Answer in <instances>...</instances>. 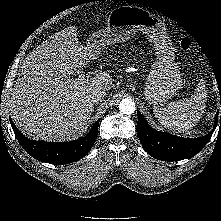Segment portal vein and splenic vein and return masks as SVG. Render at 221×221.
Returning a JSON list of instances; mask_svg holds the SVG:
<instances>
[{
    "label": "portal vein and splenic vein",
    "mask_w": 221,
    "mask_h": 221,
    "mask_svg": "<svg viewBox=\"0 0 221 221\" xmlns=\"http://www.w3.org/2000/svg\"><path fill=\"white\" fill-rule=\"evenodd\" d=\"M88 77L89 76L84 75L82 71L78 72V78H77L78 80L83 81V80H86V78Z\"/></svg>",
    "instance_id": "1"
}]
</instances>
